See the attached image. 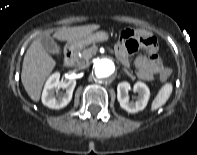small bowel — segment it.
<instances>
[{"label":"small bowel","mask_w":197,"mask_h":155,"mask_svg":"<svg viewBox=\"0 0 197 155\" xmlns=\"http://www.w3.org/2000/svg\"><path fill=\"white\" fill-rule=\"evenodd\" d=\"M132 32L135 38H144L140 36L137 31L132 30ZM144 47L148 48V54L146 56L139 55L134 60V66L138 77L149 81L152 80L155 75H159L161 79V75L166 68L164 67L161 57L157 52V44L150 43L148 46ZM115 51L121 62L125 66H130L131 50L129 48V41L126 38H121L115 47Z\"/></svg>","instance_id":"c3829d8e"}]
</instances>
